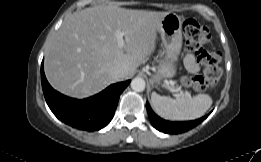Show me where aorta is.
I'll return each mask as SVG.
<instances>
[{"instance_id": "1", "label": "aorta", "mask_w": 261, "mask_h": 162, "mask_svg": "<svg viewBox=\"0 0 261 162\" xmlns=\"http://www.w3.org/2000/svg\"><path fill=\"white\" fill-rule=\"evenodd\" d=\"M146 83L143 78L136 77L131 81V88L135 92H142L145 90Z\"/></svg>"}]
</instances>
